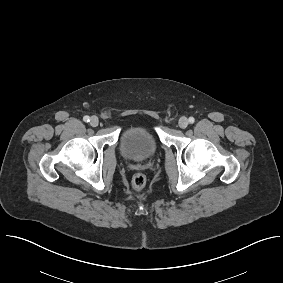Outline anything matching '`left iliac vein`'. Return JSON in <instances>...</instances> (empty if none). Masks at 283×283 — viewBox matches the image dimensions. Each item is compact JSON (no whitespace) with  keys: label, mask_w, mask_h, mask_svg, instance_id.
Wrapping results in <instances>:
<instances>
[{"label":"left iliac vein","mask_w":283,"mask_h":283,"mask_svg":"<svg viewBox=\"0 0 283 283\" xmlns=\"http://www.w3.org/2000/svg\"><path fill=\"white\" fill-rule=\"evenodd\" d=\"M178 124L180 128L184 129L188 126V119L186 117H181Z\"/></svg>","instance_id":"obj_1"}]
</instances>
